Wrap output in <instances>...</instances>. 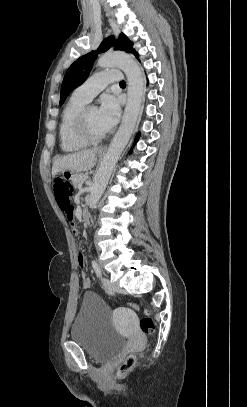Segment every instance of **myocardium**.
Returning a JSON list of instances; mask_svg holds the SVG:
<instances>
[{
  "label": "myocardium",
  "mask_w": 247,
  "mask_h": 407,
  "mask_svg": "<svg viewBox=\"0 0 247 407\" xmlns=\"http://www.w3.org/2000/svg\"><path fill=\"white\" fill-rule=\"evenodd\" d=\"M90 108L91 106H85L80 110L75 121V130L77 135L87 143H97L105 139L109 135L110 130L99 135L91 132L87 122V112Z\"/></svg>",
  "instance_id": "f54148a6"
}]
</instances>
